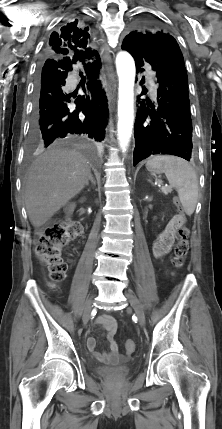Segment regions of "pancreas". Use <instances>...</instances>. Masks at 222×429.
Segmentation results:
<instances>
[{
    "mask_svg": "<svg viewBox=\"0 0 222 429\" xmlns=\"http://www.w3.org/2000/svg\"><path fill=\"white\" fill-rule=\"evenodd\" d=\"M160 189L164 194H168L172 191L170 187H165V186H162Z\"/></svg>",
    "mask_w": 222,
    "mask_h": 429,
    "instance_id": "obj_1",
    "label": "pancreas"
}]
</instances>
